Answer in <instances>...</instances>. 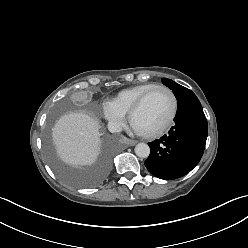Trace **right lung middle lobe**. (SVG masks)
<instances>
[{"instance_id": "1", "label": "right lung middle lobe", "mask_w": 248, "mask_h": 248, "mask_svg": "<svg viewBox=\"0 0 248 248\" xmlns=\"http://www.w3.org/2000/svg\"><path fill=\"white\" fill-rule=\"evenodd\" d=\"M46 149L48 159L55 172L66 182L80 187L97 184L107 173L114 155L113 148L108 146L94 167L76 169L64 164L56 157L49 137L46 139Z\"/></svg>"}]
</instances>
